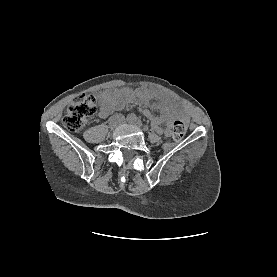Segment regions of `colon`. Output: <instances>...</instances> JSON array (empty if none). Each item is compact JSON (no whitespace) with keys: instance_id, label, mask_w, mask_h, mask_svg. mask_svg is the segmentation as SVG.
<instances>
[{"instance_id":"obj_1","label":"colon","mask_w":277,"mask_h":277,"mask_svg":"<svg viewBox=\"0 0 277 277\" xmlns=\"http://www.w3.org/2000/svg\"><path fill=\"white\" fill-rule=\"evenodd\" d=\"M97 110L95 99L88 95H80L72 100L63 118L64 126L70 131L83 128L94 116ZM187 132V124L178 119L173 123L172 135L175 140L182 139Z\"/></svg>"}]
</instances>
